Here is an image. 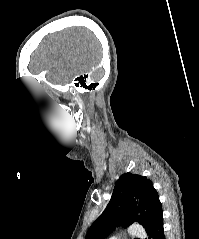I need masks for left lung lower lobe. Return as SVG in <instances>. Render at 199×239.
Instances as JSON below:
<instances>
[{"label": "left lung lower lobe", "mask_w": 199, "mask_h": 239, "mask_svg": "<svg viewBox=\"0 0 199 239\" xmlns=\"http://www.w3.org/2000/svg\"><path fill=\"white\" fill-rule=\"evenodd\" d=\"M148 239H165L163 229V213L160 210L145 228Z\"/></svg>", "instance_id": "obj_1"}]
</instances>
